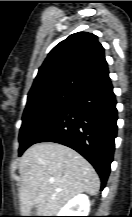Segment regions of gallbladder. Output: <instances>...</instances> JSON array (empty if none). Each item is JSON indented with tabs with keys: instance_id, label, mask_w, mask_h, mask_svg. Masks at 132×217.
Wrapping results in <instances>:
<instances>
[{
	"instance_id": "gallbladder-1",
	"label": "gallbladder",
	"mask_w": 132,
	"mask_h": 217,
	"mask_svg": "<svg viewBox=\"0 0 132 217\" xmlns=\"http://www.w3.org/2000/svg\"><path fill=\"white\" fill-rule=\"evenodd\" d=\"M35 214H36V207L33 206V207H32V215L34 216Z\"/></svg>"
}]
</instances>
